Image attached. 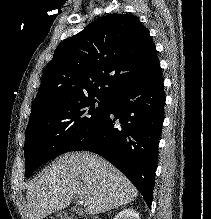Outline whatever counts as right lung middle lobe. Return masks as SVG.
<instances>
[{
  "mask_svg": "<svg viewBox=\"0 0 211 219\" xmlns=\"http://www.w3.org/2000/svg\"><path fill=\"white\" fill-rule=\"evenodd\" d=\"M98 100V107L95 97L84 98L29 120L24 148L27 178L41 164L68 152L101 121L109 99Z\"/></svg>",
  "mask_w": 211,
  "mask_h": 219,
  "instance_id": "obj_1",
  "label": "right lung middle lobe"
}]
</instances>
